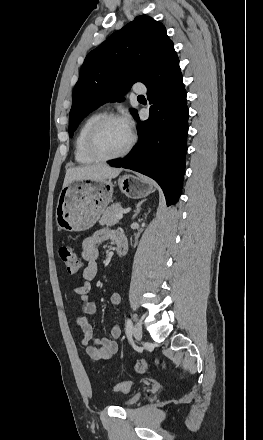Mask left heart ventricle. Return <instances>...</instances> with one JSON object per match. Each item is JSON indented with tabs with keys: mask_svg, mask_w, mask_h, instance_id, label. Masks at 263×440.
Returning a JSON list of instances; mask_svg holds the SVG:
<instances>
[{
	"mask_svg": "<svg viewBox=\"0 0 263 440\" xmlns=\"http://www.w3.org/2000/svg\"><path fill=\"white\" fill-rule=\"evenodd\" d=\"M129 131L125 123L111 121L102 127L98 134V148L104 154L120 151L128 142Z\"/></svg>",
	"mask_w": 263,
	"mask_h": 440,
	"instance_id": "1",
	"label": "left heart ventricle"
}]
</instances>
